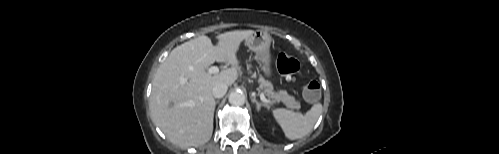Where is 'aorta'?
I'll use <instances>...</instances> for the list:
<instances>
[{"mask_svg": "<svg viewBox=\"0 0 499 154\" xmlns=\"http://www.w3.org/2000/svg\"><path fill=\"white\" fill-rule=\"evenodd\" d=\"M228 100L233 106H241L245 103V95L241 91H234L229 95Z\"/></svg>", "mask_w": 499, "mask_h": 154, "instance_id": "obj_1", "label": "aorta"}]
</instances>
